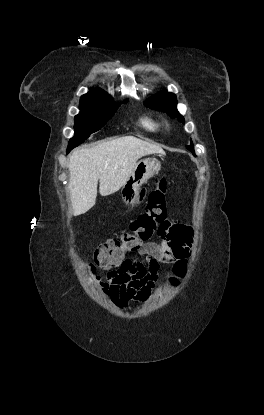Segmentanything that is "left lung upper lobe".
I'll return each instance as SVG.
<instances>
[{"label": "left lung upper lobe", "mask_w": 264, "mask_h": 415, "mask_svg": "<svg viewBox=\"0 0 264 415\" xmlns=\"http://www.w3.org/2000/svg\"><path fill=\"white\" fill-rule=\"evenodd\" d=\"M144 104L149 108L165 111L171 116V118H177L178 121L182 123L185 121L184 117L177 110V98L175 94L167 92L166 90L152 96L146 100ZM186 147L193 153L194 156H196L192 142L191 145Z\"/></svg>", "instance_id": "1"}]
</instances>
